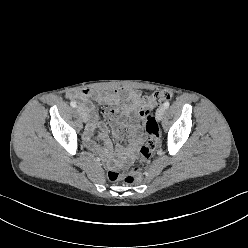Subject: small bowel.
<instances>
[{"label": "small bowel", "mask_w": 248, "mask_h": 248, "mask_svg": "<svg viewBox=\"0 0 248 248\" xmlns=\"http://www.w3.org/2000/svg\"><path fill=\"white\" fill-rule=\"evenodd\" d=\"M67 97L80 101L88 112L92 114V122L87 126L84 133V141L89 148L108 157L115 155L123 161L133 159L137 147L144 141L141 127L133 117L142 106L138 90L119 88L101 92L85 89L70 92ZM93 101L108 106L103 112L106 121H101L98 124L97 138L102 142V145L94 140L96 116L94 115ZM108 124L112 128L115 139L119 142H124V145L117 144L114 150L108 135Z\"/></svg>", "instance_id": "small-bowel-1"}]
</instances>
